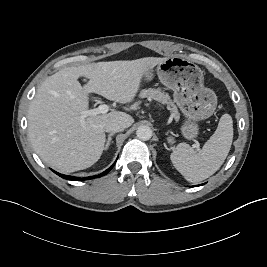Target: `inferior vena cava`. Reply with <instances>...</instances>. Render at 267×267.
<instances>
[{
	"label": "inferior vena cava",
	"mask_w": 267,
	"mask_h": 267,
	"mask_svg": "<svg viewBox=\"0 0 267 267\" xmlns=\"http://www.w3.org/2000/svg\"><path fill=\"white\" fill-rule=\"evenodd\" d=\"M125 128H127V125L120 121V120H110L104 125V131L108 133H116V132H121Z\"/></svg>",
	"instance_id": "602c4592"
}]
</instances>
